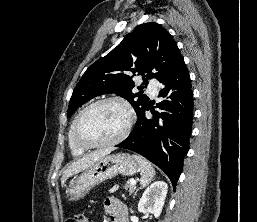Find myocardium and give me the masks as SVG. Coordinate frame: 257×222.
<instances>
[{
	"mask_svg": "<svg viewBox=\"0 0 257 222\" xmlns=\"http://www.w3.org/2000/svg\"><path fill=\"white\" fill-rule=\"evenodd\" d=\"M106 103H117L124 108V110L126 112V124H125L124 129L117 137H115L114 139H111L109 141H105V142H101V143H90V142L84 141L79 136V133H78L79 125H80L82 119L90 110H92L93 108H95L99 105L106 104ZM132 124H133V110H132V107L129 104V102L127 100H125L124 98H121L118 96L105 97V98L99 99V100L91 103L90 105L85 107L78 114V116L76 117V119L74 121L73 127H72V138L78 147L83 148L85 150L110 147V146L117 145V144L121 143L124 139H126V137L130 133Z\"/></svg>",
	"mask_w": 257,
	"mask_h": 222,
	"instance_id": "1",
	"label": "myocardium"
}]
</instances>
